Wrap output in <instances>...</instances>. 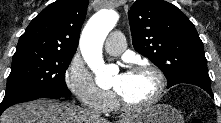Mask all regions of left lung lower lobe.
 I'll return each instance as SVG.
<instances>
[{
    "label": "left lung lower lobe",
    "mask_w": 221,
    "mask_h": 123,
    "mask_svg": "<svg viewBox=\"0 0 221 123\" xmlns=\"http://www.w3.org/2000/svg\"><path fill=\"white\" fill-rule=\"evenodd\" d=\"M182 83H187V84H193L196 85L202 89H204L206 92H208V94L213 97V93L211 90V86L210 83L207 82H202V81H198V80H189V81H184ZM169 88V87H168Z\"/></svg>",
    "instance_id": "obj_1"
}]
</instances>
